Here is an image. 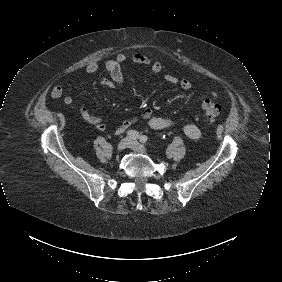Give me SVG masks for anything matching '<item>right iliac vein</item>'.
I'll return each mask as SVG.
<instances>
[{
  "mask_svg": "<svg viewBox=\"0 0 282 282\" xmlns=\"http://www.w3.org/2000/svg\"><path fill=\"white\" fill-rule=\"evenodd\" d=\"M130 145H131V138H128V137L124 138L119 142L117 150H118V152H121L124 149L130 147Z\"/></svg>",
  "mask_w": 282,
  "mask_h": 282,
  "instance_id": "obj_1",
  "label": "right iliac vein"
}]
</instances>
